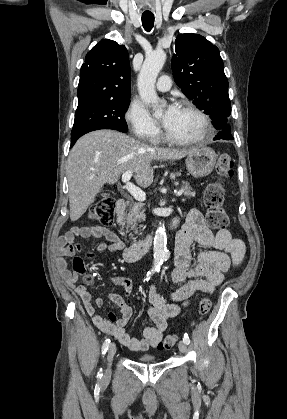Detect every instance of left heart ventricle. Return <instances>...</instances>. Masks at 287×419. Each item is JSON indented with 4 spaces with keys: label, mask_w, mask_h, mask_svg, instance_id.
<instances>
[{
    "label": "left heart ventricle",
    "mask_w": 287,
    "mask_h": 419,
    "mask_svg": "<svg viewBox=\"0 0 287 419\" xmlns=\"http://www.w3.org/2000/svg\"><path fill=\"white\" fill-rule=\"evenodd\" d=\"M165 129L170 135L181 139L196 138L204 132L201 120L194 113L182 107L178 108Z\"/></svg>",
    "instance_id": "left-heart-ventricle-1"
}]
</instances>
